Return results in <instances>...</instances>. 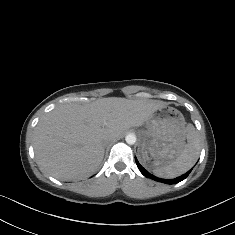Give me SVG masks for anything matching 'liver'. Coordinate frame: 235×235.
Wrapping results in <instances>:
<instances>
[{
    "label": "liver",
    "instance_id": "obj_1",
    "mask_svg": "<svg viewBox=\"0 0 235 235\" xmlns=\"http://www.w3.org/2000/svg\"><path fill=\"white\" fill-rule=\"evenodd\" d=\"M165 103L150 99L104 98L90 105H61L43 116L33 133L41 172L62 181L93 174L104 157L105 141L145 124Z\"/></svg>",
    "mask_w": 235,
    "mask_h": 235
}]
</instances>
